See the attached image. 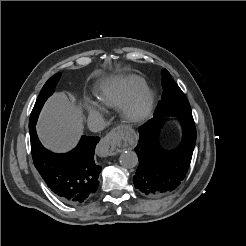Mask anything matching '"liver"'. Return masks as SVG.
<instances>
[{
    "label": "liver",
    "mask_w": 246,
    "mask_h": 246,
    "mask_svg": "<svg viewBox=\"0 0 246 246\" xmlns=\"http://www.w3.org/2000/svg\"><path fill=\"white\" fill-rule=\"evenodd\" d=\"M82 111L65 93H55L46 102L37 125L45 147L66 152L78 142L83 131Z\"/></svg>",
    "instance_id": "1"
}]
</instances>
